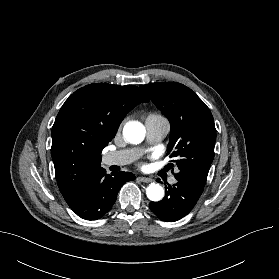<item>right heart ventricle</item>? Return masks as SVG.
<instances>
[{"label": "right heart ventricle", "mask_w": 279, "mask_h": 279, "mask_svg": "<svg viewBox=\"0 0 279 279\" xmlns=\"http://www.w3.org/2000/svg\"><path fill=\"white\" fill-rule=\"evenodd\" d=\"M162 116L158 115V114H150L148 115L147 119L148 118H161Z\"/></svg>", "instance_id": "obj_1"}]
</instances>
